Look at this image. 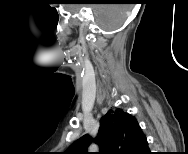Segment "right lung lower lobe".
<instances>
[{
	"instance_id": "98d812e1",
	"label": "right lung lower lobe",
	"mask_w": 188,
	"mask_h": 154,
	"mask_svg": "<svg viewBox=\"0 0 188 154\" xmlns=\"http://www.w3.org/2000/svg\"><path fill=\"white\" fill-rule=\"evenodd\" d=\"M145 154H150V150L148 149V150L145 152Z\"/></svg>"
}]
</instances>
